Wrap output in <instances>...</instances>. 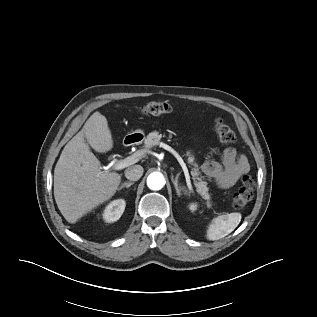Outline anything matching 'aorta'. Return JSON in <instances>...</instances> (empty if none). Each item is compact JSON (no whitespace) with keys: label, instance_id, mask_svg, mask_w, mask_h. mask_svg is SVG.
<instances>
[{"label":"aorta","instance_id":"762f6f07","mask_svg":"<svg viewBox=\"0 0 317 317\" xmlns=\"http://www.w3.org/2000/svg\"><path fill=\"white\" fill-rule=\"evenodd\" d=\"M165 185V178L160 172H153L147 177V186L151 190H160Z\"/></svg>","mask_w":317,"mask_h":317}]
</instances>
